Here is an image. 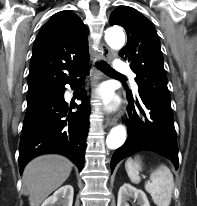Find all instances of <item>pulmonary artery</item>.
<instances>
[{
  "label": "pulmonary artery",
  "mask_w": 197,
  "mask_h": 206,
  "mask_svg": "<svg viewBox=\"0 0 197 206\" xmlns=\"http://www.w3.org/2000/svg\"><path fill=\"white\" fill-rule=\"evenodd\" d=\"M115 68L119 72H129L128 65L125 62L120 61V60H118L116 62ZM131 76L133 77V74H131ZM133 85H134L135 88L137 87V85L134 81H133Z\"/></svg>",
  "instance_id": "obj_1"
}]
</instances>
